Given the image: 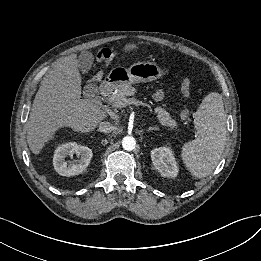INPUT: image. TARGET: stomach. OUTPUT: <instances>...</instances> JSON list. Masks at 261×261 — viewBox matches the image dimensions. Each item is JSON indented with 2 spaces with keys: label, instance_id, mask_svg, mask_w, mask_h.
I'll use <instances>...</instances> for the list:
<instances>
[{
  "label": "stomach",
  "instance_id": "0dacf381",
  "mask_svg": "<svg viewBox=\"0 0 261 261\" xmlns=\"http://www.w3.org/2000/svg\"><path fill=\"white\" fill-rule=\"evenodd\" d=\"M168 73L152 62H137L128 69L124 67L114 68L109 74L111 80L117 86L131 85L140 82H152L160 79Z\"/></svg>",
  "mask_w": 261,
  "mask_h": 261
}]
</instances>
